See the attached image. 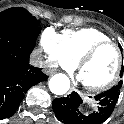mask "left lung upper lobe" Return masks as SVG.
Masks as SVG:
<instances>
[{"instance_id": "obj_1", "label": "left lung upper lobe", "mask_w": 124, "mask_h": 124, "mask_svg": "<svg viewBox=\"0 0 124 124\" xmlns=\"http://www.w3.org/2000/svg\"><path fill=\"white\" fill-rule=\"evenodd\" d=\"M119 47L122 50L121 45H119ZM122 74H123V72L121 71L120 76H122ZM118 85L122 86V81H119Z\"/></svg>"}]
</instances>
